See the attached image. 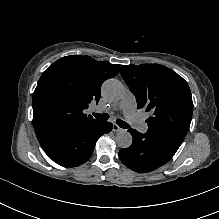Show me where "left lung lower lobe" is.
<instances>
[{
  "label": "left lung lower lobe",
  "instance_id": "obj_1",
  "mask_svg": "<svg viewBox=\"0 0 219 219\" xmlns=\"http://www.w3.org/2000/svg\"><path fill=\"white\" fill-rule=\"evenodd\" d=\"M133 142L128 148L119 151L122 163L138 173L151 172L167 163L176 152L161 143L155 142L145 133L129 129Z\"/></svg>",
  "mask_w": 219,
  "mask_h": 219
}]
</instances>
